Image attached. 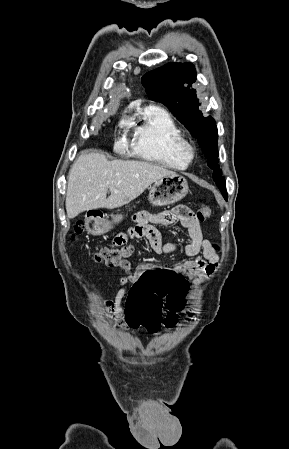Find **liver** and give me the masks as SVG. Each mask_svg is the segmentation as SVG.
Wrapping results in <instances>:
<instances>
[{
	"mask_svg": "<svg viewBox=\"0 0 289 449\" xmlns=\"http://www.w3.org/2000/svg\"><path fill=\"white\" fill-rule=\"evenodd\" d=\"M176 173L145 161H108L99 153H83L72 165L67 184L68 218L98 208L114 209L130 203L157 180ZM110 190L111 195L106 198Z\"/></svg>",
	"mask_w": 289,
	"mask_h": 449,
	"instance_id": "liver-1",
	"label": "liver"
}]
</instances>
